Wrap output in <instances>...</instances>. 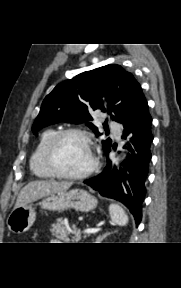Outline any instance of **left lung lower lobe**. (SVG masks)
<instances>
[{
  "instance_id": "1",
  "label": "left lung lower lobe",
  "mask_w": 181,
  "mask_h": 288,
  "mask_svg": "<svg viewBox=\"0 0 181 288\" xmlns=\"http://www.w3.org/2000/svg\"><path fill=\"white\" fill-rule=\"evenodd\" d=\"M121 123L124 126L122 138L130 136L131 142L123 168L110 171L111 163H108L101 174L85 180L84 183L98 190L102 196L126 205L138 226L142 218V202L146 193L145 181L152 157L150 146L153 141L152 118L141 88ZM109 151L110 149L106 152Z\"/></svg>"
}]
</instances>
